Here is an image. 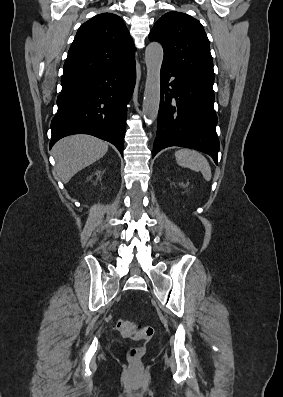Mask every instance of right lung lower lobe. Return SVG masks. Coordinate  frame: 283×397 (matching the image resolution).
<instances>
[{
  "label": "right lung lower lobe",
  "instance_id": "right-lung-lower-lobe-1",
  "mask_svg": "<svg viewBox=\"0 0 283 397\" xmlns=\"http://www.w3.org/2000/svg\"><path fill=\"white\" fill-rule=\"evenodd\" d=\"M135 79L133 60L123 66L61 81L58 111L51 121L50 148L62 137L82 133L114 144L123 155L126 104Z\"/></svg>",
  "mask_w": 283,
  "mask_h": 397
}]
</instances>
